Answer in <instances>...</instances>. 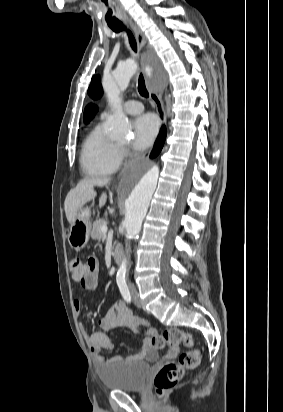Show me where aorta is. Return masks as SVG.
Instances as JSON below:
<instances>
[{"mask_svg": "<svg viewBox=\"0 0 283 412\" xmlns=\"http://www.w3.org/2000/svg\"><path fill=\"white\" fill-rule=\"evenodd\" d=\"M148 74L151 69L146 68ZM136 65L133 61L124 62L111 77L103 79L102 86L108 102L114 110L109 119V136L124 138L130 133L129 121L122 110L120 94L127 88L135 75ZM159 170L156 166L128 170L121 181V193L125 198L124 227L126 238L132 239L139 234L142 222L146 216L150 200L156 189ZM129 264V258H123L117 271L118 277H124Z\"/></svg>", "mask_w": 283, "mask_h": 412, "instance_id": "aorta-1", "label": "aorta"}]
</instances>
